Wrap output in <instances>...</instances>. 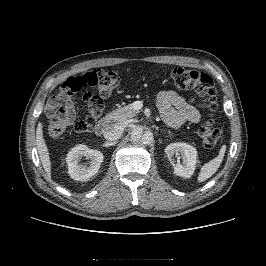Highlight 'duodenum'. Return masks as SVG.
Returning a JSON list of instances; mask_svg holds the SVG:
<instances>
[{
  "label": "duodenum",
  "instance_id": "duodenum-1",
  "mask_svg": "<svg viewBox=\"0 0 266 266\" xmlns=\"http://www.w3.org/2000/svg\"><path fill=\"white\" fill-rule=\"evenodd\" d=\"M108 129V120L102 119L94 126V132L97 136H102Z\"/></svg>",
  "mask_w": 266,
  "mask_h": 266
}]
</instances>
